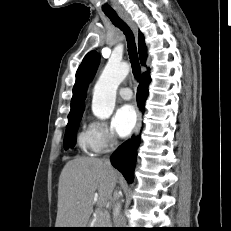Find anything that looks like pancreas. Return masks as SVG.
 <instances>
[{
  "instance_id": "cf45deb5",
  "label": "pancreas",
  "mask_w": 231,
  "mask_h": 231,
  "mask_svg": "<svg viewBox=\"0 0 231 231\" xmlns=\"http://www.w3.org/2000/svg\"><path fill=\"white\" fill-rule=\"evenodd\" d=\"M109 224V214L105 210H97L95 225L98 227H105Z\"/></svg>"
}]
</instances>
